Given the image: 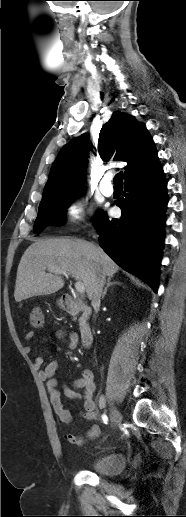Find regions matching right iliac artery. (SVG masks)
<instances>
[{"label":"right iliac artery","instance_id":"1","mask_svg":"<svg viewBox=\"0 0 186 517\" xmlns=\"http://www.w3.org/2000/svg\"><path fill=\"white\" fill-rule=\"evenodd\" d=\"M102 420H103V422H104L105 424H107V422H108V417H107V415L103 414V415H102Z\"/></svg>","mask_w":186,"mask_h":517}]
</instances>
